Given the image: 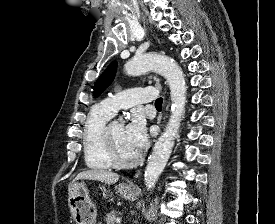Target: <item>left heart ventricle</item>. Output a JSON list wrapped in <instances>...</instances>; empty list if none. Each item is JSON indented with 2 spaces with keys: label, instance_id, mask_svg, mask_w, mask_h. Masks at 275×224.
Returning a JSON list of instances; mask_svg holds the SVG:
<instances>
[{
  "label": "left heart ventricle",
  "instance_id": "obj_1",
  "mask_svg": "<svg viewBox=\"0 0 275 224\" xmlns=\"http://www.w3.org/2000/svg\"><path fill=\"white\" fill-rule=\"evenodd\" d=\"M124 125L115 123L110 125L111 139L116 149L118 156L124 160H130L134 158L136 153L125 140L124 137Z\"/></svg>",
  "mask_w": 275,
  "mask_h": 224
}]
</instances>
